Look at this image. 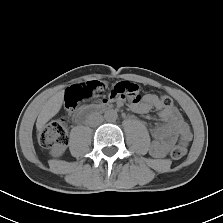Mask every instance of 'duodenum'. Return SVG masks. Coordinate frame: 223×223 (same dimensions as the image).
<instances>
[{
	"instance_id": "1",
	"label": "duodenum",
	"mask_w": 223,
	"mask_h": 223,
	"mask_svg": "<svg viewBox=\"0 0 223 223\" xmlns=\"http://www.w3.org/2000/svg\"><path fill=\"white\" fill-rule=\"evenodd\" d=\"M111 106L108 104H101L97 105L94 108H87L84 109L79 116L80 121H87L91 115H93L96 112L104 111V110H110Z\"/></svg>"
}]
</instances>
